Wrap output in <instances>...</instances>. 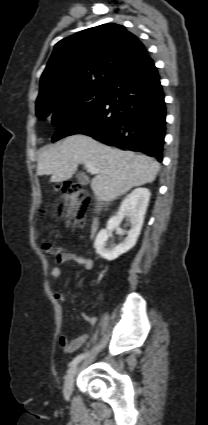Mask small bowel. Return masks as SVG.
Here are the masks:
<instances>
[{"label":"small bowel","mask_w":208,"mask_h":425,"mask_svg":"<svg viewBox=\"0 0 208 425\" xmlns=\"http://www.w3.org/2000/svg\"><path fill=\"white\" fill-rule=\"evenodd\" d=\"M58 262L59 263L75 262L77 264L82 265L86 270H91L94 266V262L91 258H87L72 252H63L58 257ZM61 273L62 272L59 267H53L50 271V276L53 281H57L61 277ZM54 297L61 304L65 302V296L60 292H55ZM82 317L84 320L88 321L91 324H94L97 322L96 317L91 316L87 313H83ZM87 338H88L87 334L80 335L74 339H70L63 334L59 338V343L62 349L64 350V352L72 353L76 351L77 349H79L86 342Z\"/></svg>","instance_id":"obj_1"}]
</instances>
